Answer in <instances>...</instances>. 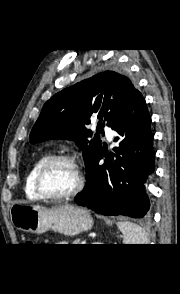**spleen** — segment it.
Wrapping results in <instances>:
<instances>
[{"instance_id":"1","label":"spleen","mask_w":180,"mask_h":294,"mask_svg":"<svg viewBox=\"0 0 180 294\" xmlns=\"http://www.w3.org/2000/svg\"><path fill=\"white\" fill-rule=\"evenodd\" d=\"M117 226L123 234V244H148V235L139 225L129 221H120Z\"/></svg>"}]
</instances>
